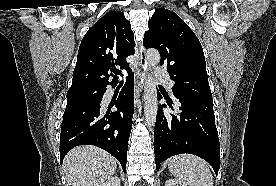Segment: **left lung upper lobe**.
Instances as JSON below:
<instances>
[{
	"mask_svg": "<svg viewBox=\"0 0 276 186\" xmlns=\"http://www.w3.org/2000/svg\"><path fill=\"white\" fill-rule=\"evenodd\" d=\"M144 35V47L156 48L160 64L175 81L176 98H212L202 46L189 26L165 8L155 11Z\"/></svg>",
	"mask_w": 276,
	"mask_h": 186,
	"instance_id": "1",
	"label": "left lung upper lobe"
}]
</instances>
